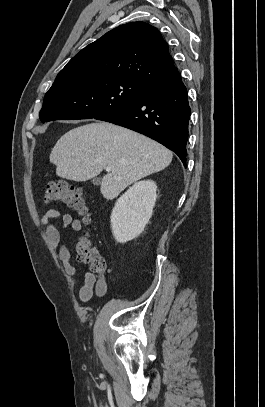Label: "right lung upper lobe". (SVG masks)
Listing matches in <instances>:
<instances>
[{
	"instance_id": "cb5924a9",
	"label": "right lung upper lobe",
	"mask_w": 265,
	"mask_h": 407,
	"mask_svg": "<svg viewBox=\"0 0 265 407\" xmlns=\"http://www.w3.org/2000/svg\"><path fill=\"white\" fill-rule=\"evenodd\" d=\"M168 45L157 28L131 22L107 32L73 57L55 82L92 75L151 86L174 73Z\"/></svg>"
}]
</instances>
